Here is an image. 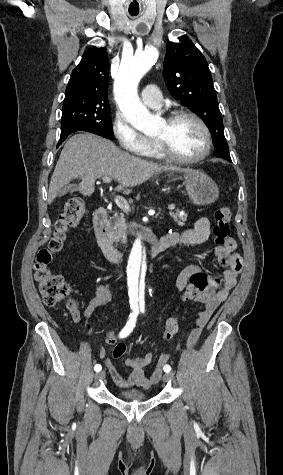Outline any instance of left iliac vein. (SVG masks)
<instances>
[{
	"label": "left iliac vein",
	"instance_id": "left-iliac-vein-1",
	"mask_svg": "<svg viewBox=\"0 0 283 475\" xmlns=\"http://www.w3.org/2000/svg\"><path fill=\"white\" fill-rule=\"evenodd\" d=\"M173 379V375L171 373H166L163 375V381L168 382Z\"/></svg>",
	"mask_w": 283,
	"mask_h": 475
}]
</instances>
